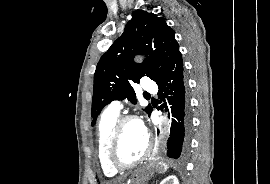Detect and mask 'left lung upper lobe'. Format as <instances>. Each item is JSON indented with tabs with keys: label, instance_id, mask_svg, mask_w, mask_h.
<instances>
[{
	"label": "left lung upper lobe",
	"instance_id": "obj_1",
	"mask_svg": "<svg viewBox=\"0 0 270 184\" xmlns=\"http://www.w3.org/2000/svg\"><path fill=\"white\" fill-rule=\"evenodd\" d=\"M178 52L179 44L174 31L163 17L142 10L135 11L123 34L98 62L94 74L92 125L103 107L111 101L127 98L136 103L132 82H139L143 76L156 82ZM138 54L150 57L136 64L133 58ZM145 111L150 115L152 107L148 105Z\"/></svg>",
	"mask_w": 270,
	"mask_h": 184
}]
</instances>
